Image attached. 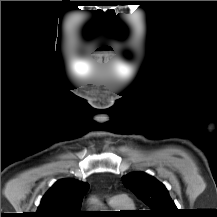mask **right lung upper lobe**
Here are the masks:
<instances>
[{
  "instance_id": "right-lung-upper-lobe-1",
  "label": "right lung upper lobe",
  "mask_w": 217,
  "mask_h": 217,
  "mask_svg": "<svg viewBox=\"0 0 217 217\" xmlns=\"http://www.w3.org/2000/svg\"><path fill=\"white\" fill-rule=\"evenodd\" d=\"M89 184L76 179L57 181L43 196L34 217H84L80 211Z\"/></svg>"
}]
</instances>
